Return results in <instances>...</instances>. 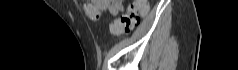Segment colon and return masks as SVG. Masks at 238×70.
<instances>
[{
    "mask_svg": "<svg viewBox=\"0 0 238 70\" xmlns=\"http://www.w3.org/2000/svg\"><path fill=\"white\" fill-rule=\"evenodd\" d=\"M148 11V2L146 0L133 1L128 11L119 19L113 22L111 29L115 34L131 32L140 22V14L144 15ZM92 17H96V12L90 10Z\"/></svg>",
    "mask_w": 238,
    "mask_h": 70,
    "instance_id": "5ec220e1",
    "label": "colon"
}]
</instances>
